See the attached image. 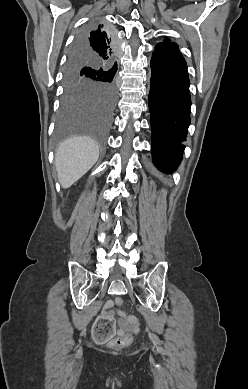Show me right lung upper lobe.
<instances>
[{
  "mask_svg": "<svg viewBox=\"0 0 248 389\" xmlns=\"http://www.w3.org/2000/svg\"><path fill=\"white\" fill-rule=\"evenodd\" d=\"M77 43H81V47L92 57L98 58L117 68L118 46L116 45L113 48L112 43L109 41V34L103 28V25L87 32L83 39L77 41Z\"/></svg>",
  "mask_w": 248,
  "mask_h": 389,
  "instance_id": "right-lung-upper-lobe-1",
  "label": "right lung upper lobe"
}]
</instances>
